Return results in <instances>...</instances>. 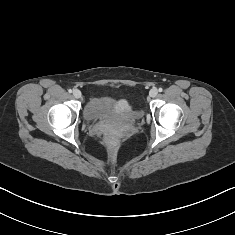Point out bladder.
I'll use <instances>...</instances> for the list:
<instances>
[{
	"mask_svg": "<svg viewBox=\"0 0 235 235\" xmlns=\"http://www.w3.org/2000/svg\"><path fill=\"white\" fill-rule=\"evenodd\" d=\"M142 109L129 102L122 104L119 98L111 95H96L88 99L84 107V116L91 121L113 120L121 122L127 119L138 118Z\"/></svg>",
	"mask_w": 235,
	"mask_h": 235,
	"instance_id": "bladder-1",
	"label": "bladder"
}]
</instances>
